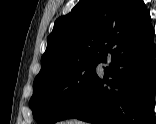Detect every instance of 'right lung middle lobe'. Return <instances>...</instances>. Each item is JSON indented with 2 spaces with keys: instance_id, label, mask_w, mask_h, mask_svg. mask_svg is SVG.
I'll list each match as a JSON object with an SVG mask.
<instances>
[{
  "instance_id": "dd1d6c3e",
  "label": "right lung middle lobe",
  "mask_w": 156,
  "mask_h": 124,
  "mask_svg": "<svg viewBox=\"0 0 156 124\" xmlns=\"http://www.w3.org/2000/svg\"><path fill=\"white\" fill-rule=\"evenodd\" d=\"M101 59L69 65L35 78L34 94L29 101L34 119L40 124H54L87 90L97 76Z\"/></svg>"
}]
</instances>
